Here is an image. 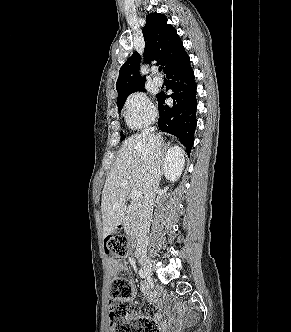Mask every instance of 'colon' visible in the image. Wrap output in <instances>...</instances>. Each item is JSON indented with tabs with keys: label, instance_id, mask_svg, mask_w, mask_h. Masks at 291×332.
<instances>
[{
	"label": "colon",
	"instance_id": "5ec220e1",
	"mask_svg": "<svg viewBox=\"0 0 291 332\" xmlns=\"http://www.w3.org/2000/svg\"><path fill=\"white\" fill-rule=\"evenodd\" d=\"M106 252L114 257H125L130 252V241L124 234L105 238ZM132 286L123 278H114L110 284L111 332H160L158 323L147 317L132 318Z\"/></svg>",
	"mask_w": 291,
	"mask_h": 332
}]
</instances>
